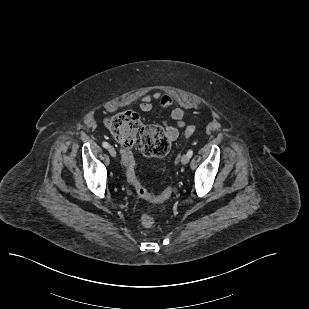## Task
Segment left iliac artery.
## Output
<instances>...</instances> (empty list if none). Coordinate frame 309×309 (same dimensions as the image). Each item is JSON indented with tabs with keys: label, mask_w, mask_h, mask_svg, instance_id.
I'll list each match as a JSON object with an SVG mask.
<instances>
[{
	"label": "left iliac artery",
	"mask_w": 309,
	"mask_h": 309,
	"mask_svg": "<svg viewBox=\"0 0 309 309\" xmlns=\"http://www.w3.org/2000/svg\"><path fill=\"white\" fill-rule=\"evenodd\" d=\"M187 155L191 158V157H192V155H193V151H192L191 149H190V150H188Z\"/></svg>",
	"instance_id": "left-iliac-artery-1"
}]
</instances>
